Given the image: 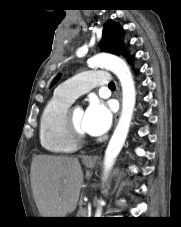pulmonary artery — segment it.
<instances>
[{"instance_id": "pulmonary-artery-1", "label": "pulmonary artery", "mask_w": 181, "mask_h": 227, "mask_svg": "<svg viewBox=\"0 0 181 227\" xmlns=\"http://www.w3.org/2000/svg\"><path fill=\"white\" fill-rule=\"evenodd\" d=\"M110 83V75L107 71H87L80 73L61 83L56 92L72 102L79 96L87 93L96 86H106Z\"/></svg>"}]
</instances>
